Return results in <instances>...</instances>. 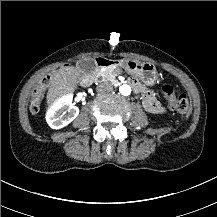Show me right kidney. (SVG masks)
I'll return each instance as SVG.
<instances>
[{"label":"right kidney","mask_w":217,"mask_h":217,"mask_svg":"<svg viewBox=\"0 0 217 217\" xmlns=\"http://www.w3.org/2000/svg\"><path fill=\"white\" fill-rule=\"evenodd\" d=\"M72 94L59 97L47 110L46 121L52 129H61L79 114V108L72 104Z\"/></svg>","instance_id":"right-kidney-1"}]
</instances>
